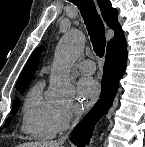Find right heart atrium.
Returning <instances> with one entry per match:
<instances>
[{
    "label": "right heart atrium",
    "mask_w": 145,
    "mask_h": 147,
    "mask_svg": "<svg viewBox=\"0 0 145 147\" xmlns=\"http://www.w3.org/2000/svg\"><path fill=\"white\" fill-rule=\"evenodd\" d=\"M80 111L75 105H70L57 110L55 117V131L61 133L66 131L72 123L79 117Z\"/></svg>",
    "instance_id": "right-heart-atrium-1"
}]
</instances>
